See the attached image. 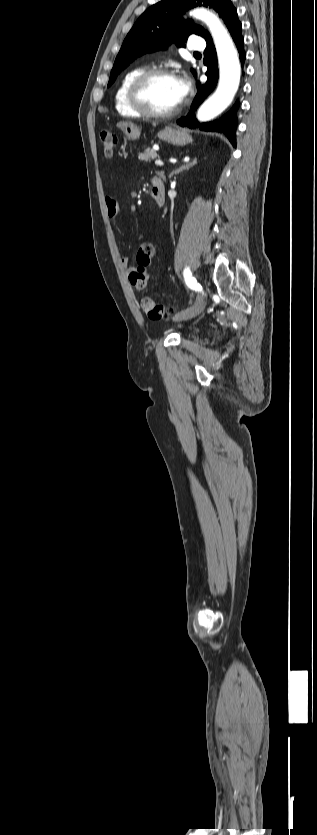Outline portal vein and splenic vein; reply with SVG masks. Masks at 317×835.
<instances>
[{
    "label": "portal vein and splenic vein",
    "instance_id": "portal-vein-and-splenic-vein-1",
    "mask_svg": "<svg viewBox=\"0 0 317 835\" xmlns=\"http://www.w3.org/2000/svg\"><path fill=\"white\" fill-rule=\"evenodd\" d=\"M155 165H156V166H160V167H161V166H163V165H164V163H163L161 160H156V161H155ZM157 173H158V174H162V172H161V171H158Z\"/></svg>",
    "mask_w": 317,
    "mask_h": 835
}]
</instances>
